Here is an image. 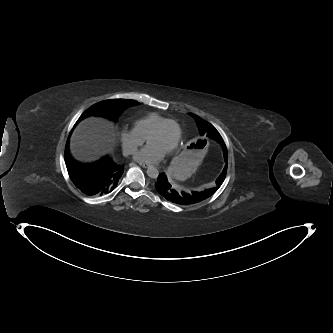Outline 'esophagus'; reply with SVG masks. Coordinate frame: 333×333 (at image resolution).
<instances>
[{"label": "esophagus", "instance_id": "esophagus-1", "mask_svg": "<svg viewBox=\"0 0 333 333\" xmlns=\"http://www.w3.org/2000/svg\"><path fill=\"white\" fill-rule=\"evenodd\" d=\"M139 164L144 168H148L150 166V164L147 162H139Z\"/></svg>", "mask_w": 333, "mask_h": 333}]
</instances>
